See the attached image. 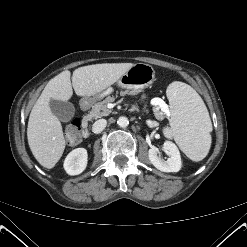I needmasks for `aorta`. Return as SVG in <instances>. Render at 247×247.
Returning a JSON list of instances; mask_svg holds the SVG:
<instances>
[{
    "label": "aorta",
    "instance_id": "aorta-1",
    "mask_svg": "<svg viewBox=\"0 0 247 247\" xmlns=\"http://www.w3.org/2000/svg\"><path fill=\"white\" fill-rule=\"evenodd\" d=\"M117 124L122 127V128H125L128 126L129 124V121L126 117L122 116V117H119V119L117 120Z\"/></svg>",
    "mask_w": 247,
    "mask_h": 247
}]
</instances>
